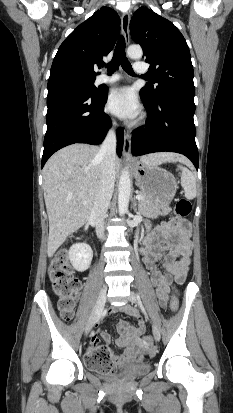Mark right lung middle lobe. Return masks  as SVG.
Returning <instances> with one entry per match:
<instances>
[{
    "label": "right lung middle lobe",
    "instance_id": "1",
    "mask_svg": "<svg viewBox=\"0 0 233 413\" xmlns=\"http://www.w3.org/2000/svg\"><path fill=\"white\" fill-rule=\"evenodd\" d=\"M95 78H81V77H64L56 80L48 81V90L61 87H73L83 91L84 93L98 97L102 94L94 86Z\"/></svg>",
    "mask_w": 233,
    "mask_h": 413
}]
</instances>
